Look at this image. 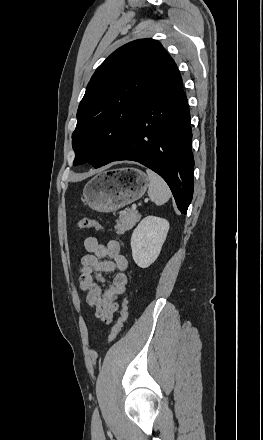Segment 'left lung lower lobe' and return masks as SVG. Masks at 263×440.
Segmentation results:
<instances>
[{"mask_svg":"<svg viewBox=\"0 0 263 440\" xmlns=\"http://www.w3.org/2000/svg\"><path fill=\"white\" fill-rule=\"evenodd\" d=\"M191 140L188 101L173 62L138 113L129 142L110 162L131 160L155 171L169 185L178 209L186 214L193 196Z\"/></svg>","mask_w":263,"mask_h":440,"instance_id":"0a47b994","label":"left lung lower lobe"}]
</instances>
